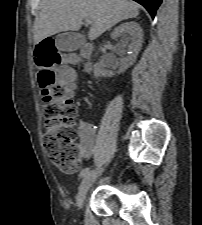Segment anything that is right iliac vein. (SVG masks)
Segmentation results:
<instances>
[{"mask_svg": "<svg viewBox=\"0 0 202 225\" xmlns=\"http://www.w3.org/2000/svg\"><path fill=\"white\" fill-rule=\"evenodd\" d=\"M102 168L97 169L93 172L88 173L81 181L79 186V191L76 197L77 206L79 209L82 208L83 202L85 199V195L87 194L89 188L91 187L92 183L96 180V178L102 172Z\"/></svg>", "mask_w": 202, "mask_h": 225, "instance_id": "1", "label": "right iliac vein"}]
</instances>
